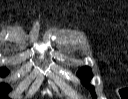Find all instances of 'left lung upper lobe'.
I'll use <instances>...</instances> for the list:
<instances>
[{
	"mask_svg": "<svg viewBox=\"0 0 128 99\" xmlns=\"http://www.w3.org/2000/svg\"><path fill=\"white\" fill-rule=\"evenodd\" d=\"M77 75L82 78L83 85L91 89L92 97L96 98L94 87L89 83L90 79L92 78L91 69L89 67H82L81 69H79Z\"/></svg>",
	"mask_w": 128,
	"mask_h": 99,
	"instance_id": "1",
	"label": "left lung upper lobe"
}]
</instances>
